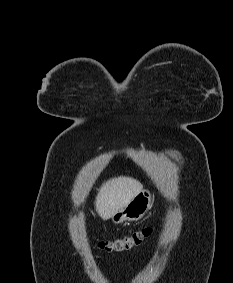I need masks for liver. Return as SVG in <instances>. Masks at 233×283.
<instances>
[{
  "label": "liver",
  "mask_w": 233,
  "mask_h": 283,
  "mask_svg": "<svg viewBox=\"0 0 233 283\" xmlns=\"http://www.w3.org/2000/svg\"><path fill=\"white\" fill-rule=\"evenodd\" d=\"M143 190L142 184L131 177H115L103 183L98 190L95 207L98 215L107 220Z\"/></svg>",
  "instance_id": "obj_1"
}]
</instances>
